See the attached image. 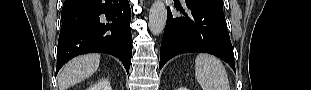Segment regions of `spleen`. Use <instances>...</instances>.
I'll use <instances>...</instances> for the list:
<instances>
[{
  "instance_id": "1",
  "label": "spleen",
  "mask_w": 311,
  "mask_h": 90,
  "mask_svg": "<svg viewBox=\"0 0 311 90\" xmlns=\"http://www.w3.org/2000/svg\"><path fill=\"white\" fill-rule=\"evenodd\" d=\"M195 77L203 90H230L224 65L212 55H197L195 59Z\"/></svg>"
}]
</instances>
